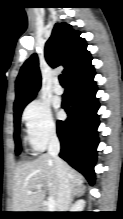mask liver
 I'll use <instances>...</instances> for the list:
<instances>
[{"label": "liver", "mask_w": 123, "mask_h": 219, "mask_svg": "<svg viewBox=\"0 0 123 219\" xmlns=\"http://www.w3.org/2000/svg\"><path fill=\"white\" fill-rule=\"evenodd\" d=\"M65 165L72 188L83 185V176L67 163ZM39 184L42 185V188L36 189ZM58 187L55 163L48 154H43L36 160L17 166L14 173L13 186L14 212H37L44 201L47 191L57 202ZM28 191H32V194H28Z\"/></svg>", "instance_id": "1"}]
</instances>
